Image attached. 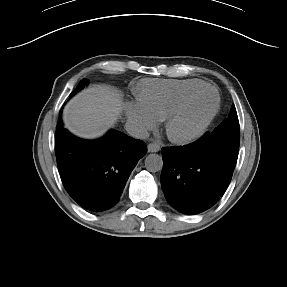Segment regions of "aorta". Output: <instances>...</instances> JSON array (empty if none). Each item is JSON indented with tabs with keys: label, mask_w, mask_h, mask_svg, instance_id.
Wrapping results in <instances>:
<instances>
[{
	"label": "aorta",
	"mask_w": 287,
	"mask_h": 287,
	"mask_svg": "<svg viewBox=\"0 0 287 287\" xmlns=\"http://www.w3.org/2000/svg\"><path fill=\"white\" fill-rule=\"evenodd\" d=\"M145 167L149 172H158L162 170L163 160L158 154H149L145 159Z\"/></svg>",
	"instance_id": "obj_1"
}]
</instances>
